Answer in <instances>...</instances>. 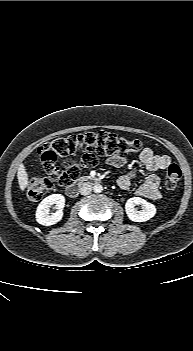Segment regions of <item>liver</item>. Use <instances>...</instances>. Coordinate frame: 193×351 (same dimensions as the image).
I'll return each mask as SVG.
<instances>
[{"mask_svg": "<svg viewBox=\"0 0 193 351\" xmlns=\"http://www.w3.org/2000/svg\"><path fill=\"white\" fill-rule=\"evenodd\" d=\"M18 183L21 191H24L25 188L28 186V174L26 172L25 166L20 164L17 172Z\"/></svg>", "mask_w": 193, "mask_h": 351, "instance_id": "6515ba94", "label": "liver"}]
</instances>
